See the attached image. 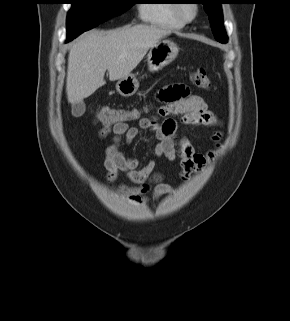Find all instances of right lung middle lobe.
Segmentation results:
<instances>
[{
  "mask_svg": "<svg viewBox=\"0 0 290 321\" xmlns=\"http://www.w3.org/2000/svg\"><path fill=\"white\" fill-rule=\"evenodd\" d=\"M67 16V40L94 28L106 20L124 13L132 7L133 0H70Z\"/></svg>",
  "mask_w": 290,
  "mask_h": 321,
  "instance_id": "right-lung-middle-lobe-1",
  "label": "right lung middle lobe"
}]
</instances>
